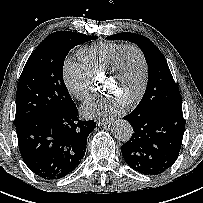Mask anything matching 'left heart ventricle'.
I'll return each instance as SVG.
<instances>
[{"label": "left heart ventricle", "instance_id": "1", "mask_svg": "<svg viewBox=\"0 0 203 203\" xmlns=\"http://www.w3.org/2000/svg\"><path fill=\"white\" fill-rule=\"evenodd\" d=\"M141 78V59L135 51L129 50L124 54L116 71L104 77L101 88L125 102L137 91Z\"/></svg>", "mask_w": 203, "mask_h": 203}]
</instances>
